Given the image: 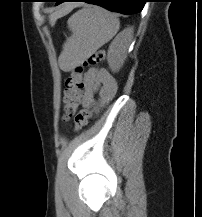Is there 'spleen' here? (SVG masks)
<instances>
[{"instance_id": "obj_1", "label": "spleen", "mask_w": 202, "mask_h": 217, "mask_svg": "<svg viewBox=\"0 0 202 217\" xmlns=\"http://www.w3.org/2000/svg\"><path fill=\"white\" fill-rule=\"evenodd\" d=\"M119 27L117 15L102 7L91 6L77 11L68 20L72 35L63 47L65 57L73 61L91 55L112 39Z\"/></svg>"}]
</instances>
